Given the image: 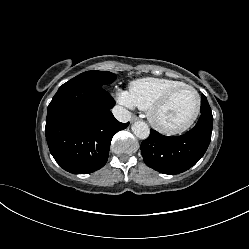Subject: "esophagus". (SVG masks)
<instances>
[{"label":"esophagus","instance_id":"1","mask_svg":"<svg viewBox=\"0 0 249 249\" xmlns=\"http://www.w3.org/2000/svg\"><path fill=\"white\" fill-rule=\"evenodd\" d=\"M136 120H138V117H137V116H135V115H134V116H132L131 121H132V122H134V121H136Z\"/></svg>","mask_w":249,"mask_h":249}]
</instances>
